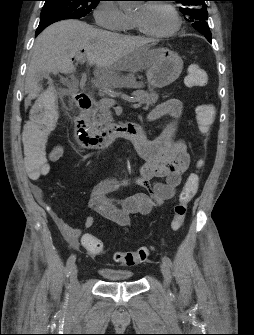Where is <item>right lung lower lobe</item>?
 <instances>
[{"label":"right lung lower lobe","mask_w":254,"mask_h":335,"mask_svg":"<svg viewBox=\"0 0 254 335\" xmlns=\"http://www.w3.org/2000/svg\"><path fill=\"white\" fill-rule=\"evenodd\" d=\"M64 19H70V18L61 15H53L41 18L35 36H37L44 28H46L50 24Z\"/></svg>","instance_id":"1"}]
</instances>
